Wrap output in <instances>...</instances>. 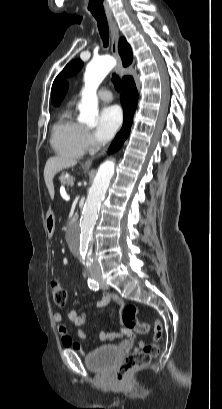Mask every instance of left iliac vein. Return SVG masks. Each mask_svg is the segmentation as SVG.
Instances as JSON below:
<instances>
[{
  "label": "left iliac vein",
  "mask_w": 222,
  "mask_h": 409,
  "mask_svg": "<svg viewBox=\"0 0 222 409\" xmlns=\"http://www.w3.org/2000/svg\"><path fill=\"white\" fill-rule=\"evenodd\" d=\"M97 281L99 282L102 289L107 290L109 288L108 284L105 282L104 279L101 278L100 275L97 277Z\"/></svg>",
  "instance_id": "4c4485c4"
}]
</instances>
